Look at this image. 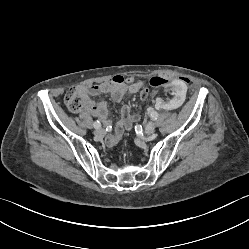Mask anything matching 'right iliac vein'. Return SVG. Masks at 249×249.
Here are the masks:
<instances>
[{
    "label": "right iliac vein",
    "mask_w": 249,
    "mask_h": 249,
    "mask_svg": "<svg viewBox=\"0 0 249 249\" xmlns=\"http://www.w3.org/2000/svg\"><path fill=\"white\" fill-rule=\"evenodd\" d=\"M94 134L97 138H101L105 135V131L102 128H96V130L94 131Z\"/></svg>",
    "instance_id": "obj_1"
}]
</instances>
